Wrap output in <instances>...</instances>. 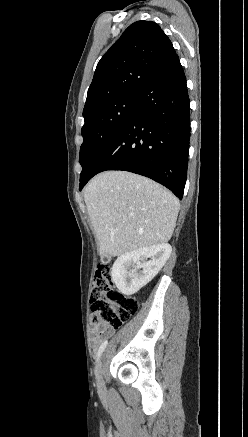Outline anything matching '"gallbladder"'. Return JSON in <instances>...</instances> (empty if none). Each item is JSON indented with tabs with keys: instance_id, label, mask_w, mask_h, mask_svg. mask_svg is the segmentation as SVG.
<instances>
[{
	"instance_id": "1",
	"label": "gallbladder",
	"mask_w": 248,
	"mask_h": 437,
	"mask_svg": "<svg viewBox=\"0 0 248 437\" xmlns=\"http://www.w3.org/2000/svg\"><path fill=\"white\" fill-rule=\"evenodd\" d=\"M101 259H102V260H105V259H106V256H102Z\"/></svg>"
}]
</instances>
